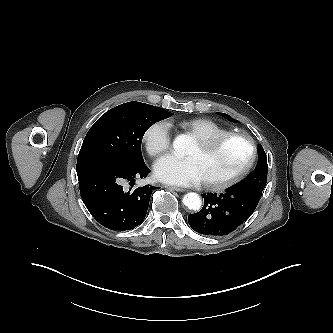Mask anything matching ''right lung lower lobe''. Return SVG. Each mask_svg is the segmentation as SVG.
I'll return each instance as SVG.
<instances>
[{"label":"right lung lower lobe","mask_w":333,"mask_h":333,"mask_svg":"<svg viewBox=\"0 0 333 333\" xmlns=\"http://www.w3.org/2000/svg\"><path fill=\"white\" fill-rule=\"evenodd\" d=\"M81 198L91 215L111 230H131L144 221L151 193L146 185L126 191L123 183L146 177L150 169L144 162L132 164L122 159L93 155L77 159Z\"/></svg>","instance_id":"obj_1"}]
</instances>
